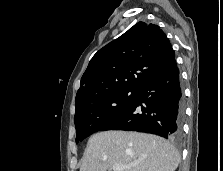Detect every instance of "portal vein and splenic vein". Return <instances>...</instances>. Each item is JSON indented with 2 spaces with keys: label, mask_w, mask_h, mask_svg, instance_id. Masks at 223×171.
<instances>
[{
  "label": "portal vein and splenic vein",
  "mask_w": 223,
  "mask_h": 171,
  "mask_svg": "<svg viewBox=\"0 0 223 171\" xmlns=\"http://www.w3.org/2000/svg\"><path fill=\"white\" fill-rule=\"evenodd\" d=\"M112 169H113V171H124L125 167L121 166V165H118V164H114L112 166Z\"/></svg>",
  "instance_id": "1"
}]
</instances>
